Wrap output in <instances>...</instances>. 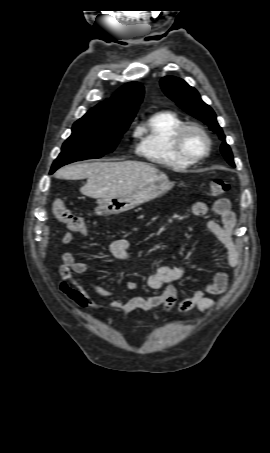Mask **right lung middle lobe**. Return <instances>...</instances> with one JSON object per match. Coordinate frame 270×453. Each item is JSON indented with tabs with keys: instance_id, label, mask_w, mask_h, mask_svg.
Wrapping results in <instances>:
<instances>
[{
	"instance_id": "obj_1",
	"label": "right lung middle lobe",
	"mask_w": 270,
	"mask_h": 453,
	"mask_svg": "<svg viewBox=\"0 0 270 453\" xmlns=\"http://www.w3.org/2000/svg\"><path fill=\"white\" fill-rule=\"evenodd\" d=\"M128 127L129 125H113L94 119H79L74 123L72 134L64 142L50 173L65 164L100 158L112 152Z\"/></svg>"
}]
</instances>
